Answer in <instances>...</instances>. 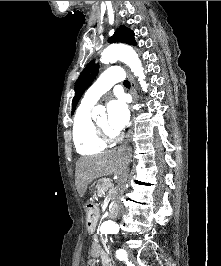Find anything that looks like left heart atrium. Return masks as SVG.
Instances as JSON below:
<instances>
[{"mask_svg":"<svg viewBox=\"0 0 221 266\" xmlns=\"http://www.w3.org/2000/svg\"><path fill=\"white\" fill-rule=\"evenodd\" d=\"M108 123L112 130L119 131L129 121V110L122 96L111 99L107 104Z\"/></svg>","mask_w":221,"mask_h":266,"instance_id":"left-heart-atrium-1","label":"left heart atrium"}]
</instances>
